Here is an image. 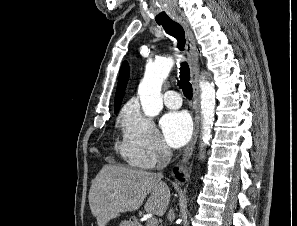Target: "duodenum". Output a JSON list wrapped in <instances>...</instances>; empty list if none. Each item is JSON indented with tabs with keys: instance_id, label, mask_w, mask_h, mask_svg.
Returning <instances> with one entry per match:
<instances>
[{
	"instance_id": "1",
	"label": "duodenum",
	"mask_w": 297,
	"mask_h": 226,
	"mask_svg": "<svg viewBox=\"0 0 297 226\" xmlns=\"http://www.w3.org/2000/svg\"><path fill=\"white\" fill-rule=\"evenodd\" d=\"M130 226H142V225L135 220H130Z\"/></svg>"
}]
</instances>
